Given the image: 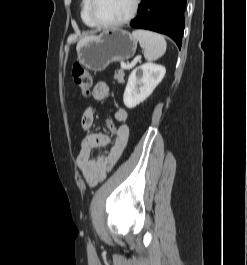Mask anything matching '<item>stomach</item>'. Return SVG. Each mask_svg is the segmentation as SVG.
<instances>
[{
	"mask_svg": "<svg viewBox=\"0 0 247 265\" xmlns=\"http://www.w3.org/2000/svg\"><path fill=\"white\" fill-rule=\"evenodd\" d=\"M136 48L137 40L128 31L109 29L78 45L77 58L84 67L98 72L110 63L132 58Z\"/></svg>",
	"mask_w": 247,
	"mask_h": 265,
	"instance_id": "stomach-1",
	"label": "stomach"
}]
</instances>
